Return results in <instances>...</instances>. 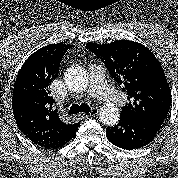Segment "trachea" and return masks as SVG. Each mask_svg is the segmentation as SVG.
I'll return each mask as SVG.
<instances>
[{"mask_svg": "<svg viewBox=\"0 0 178 178\" xmlns=\"http://www.w3.org/2000/svg\"><path fill=\"white\" fill-rule=\"evenodd\" d=\"M80 112L89 113L90 106L88 104L82 103L80 106L77 104H73L68 111L69 114H77Z\"/></svg>", "mask_w": 178, "mask_h": 178, "instance_id": "obj_1", "label": "trachea"}]
</instances>
